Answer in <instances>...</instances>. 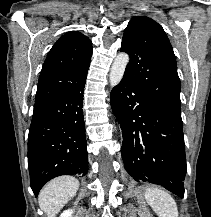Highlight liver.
Returning a JSON list of instances; mask_svg holds the SVG:
<instances>
[{"label":"liver","instance_id":"obj_1","mask_svg":"<svg viewBox=\"0 0 211 217\" xmlns=\"http://www.w3.org/2000/svg\"><path fill=\"white\" fill-rule=\"evenodd\" d=\"M79 181L72 176H60L50 181L40 192L38 202L48 217L58 212L76 195Z\"/></svg>","mask_w":211,"mask_h":217}]
</instances>
